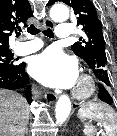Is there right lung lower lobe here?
<instances>
[{
    "instance_id": "98d812e1",
    "label": "right lung lower lobe",
    "mask_w": 117,
    "mask_h": 136,
    "mask_svg": "<svg viewBox=\"0 0 117 136\" xmlns=\"http://www.w3.org/2000/svg\"><path fill=\"white\" fill-rule=\"evenodd\" d=\"M30 80L25 72V63L22 62L14 67H0V88L16 90L24 89L28 103L32 102L30 96Z\"/></svg>"
}]
</instances>
